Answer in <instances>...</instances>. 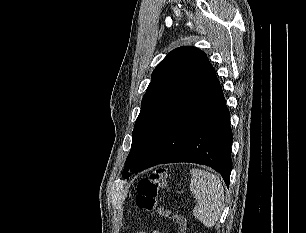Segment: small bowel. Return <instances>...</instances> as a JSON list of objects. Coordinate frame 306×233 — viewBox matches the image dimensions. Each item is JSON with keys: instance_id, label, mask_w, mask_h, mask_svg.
I'll return each instance as SVG.
<instances>
[{"instance_id": "small-bowel-1", "label": "small bowel", "mask_w": 306, "mask_h": 233, "mask_svg": "<svg viewBox=\"0 0 306 233\" xmlns=\"http://www.w3.org/2000/svg\"><path fill=\"white\" fill-rule=\"evenodd\" d=\"M138 233H146V232L140 231ZM151 233H159V231L158 230H153Z\"/></svg>"}]
</instances>
